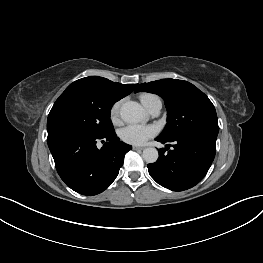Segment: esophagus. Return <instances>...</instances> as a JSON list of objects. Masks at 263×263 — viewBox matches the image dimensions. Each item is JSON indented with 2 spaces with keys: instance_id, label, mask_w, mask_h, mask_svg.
<instances>
[{
  "instance_id": "obj_1",
  "label": "esophagus",
  "mask_w": 263,
  "mask_h": 263,
  "mask_svg": "<svg viewBox=\"0 0 263 263\" xmlns=\"http://www.w3.org/2000/svg\"><path fill=\"white\" fill-rule=\"evenodd\" d=\"M133 149H134V150H143V149H144V147L133 146Z\"/></svg>"
}]
</instances>
